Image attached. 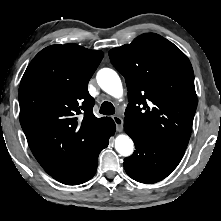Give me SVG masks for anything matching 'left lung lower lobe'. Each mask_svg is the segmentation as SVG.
Instances as JSON below:
<instances>
[{"label":"left lung lower lobe","mask_w":221,"mask_h":221,"mask_svg":"<svg viewBox=\"0 0 221 221\" xmlns=\"http://www.w3.org/2000/svg\"><path fill=\"white\" fill-rule=\"evenodd\" d=\"M135 144V152L124 159L126 173L141 183H155L167 177L181 161L185 149L164 145L147 137L137 126L124 123Z\"/></svg>","instance_id":"left-lung-lower-lobe-1"}]
</instances>
